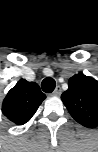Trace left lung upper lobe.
<instances>
[{"label": "left lung upper lobe", "instance_id": "5c2ea615", "mask_svg": "<svg viewBox=\"0 0 98 152\" xmlns=\"http://www.w3.org/2000/svg\"><path fill=\"white\" fill-rule=\"evenodd\" d=\"M61 99L71 116L88 128L98 126V81L83 73L75 74L68 81V90Z\"/></svg>", "mask_w": 98, "mask_h": 152}]
</instances>
